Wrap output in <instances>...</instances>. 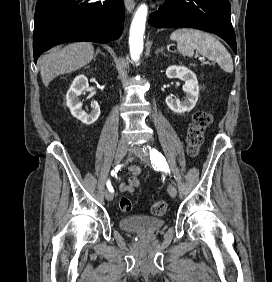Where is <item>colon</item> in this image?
Instances as JSON below:
<instances>
[{"label": "colon", "mask_w": 272, "mask_h": 282, "mask_svg": "<svg viewBox=\"0 0 272 282\" xmlns=\"http://www.w3.org/2000/svg\"><path fill=\"white\" fill-rule=\"evenodd\" d=\"M211 115L206 111H198L194 114L191 123L189 124L186 143L188 154L191 157H196L200 152V147L203 143L204 133L211 124ZM138 180L130 178L129 184L136 185ZM120 208L123 212L132 210V201L127 197H122L119 201ZM167 209V203L164 200H157L151 205V213L153 216H162Z\"/></svg>", "instance_id": "5ec220e1"}]
</instances>
